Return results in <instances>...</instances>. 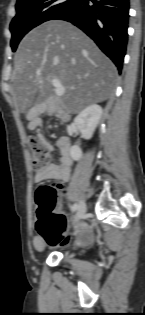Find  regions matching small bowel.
<instances>
[{"label":"small bowel","instance_id":"obj_1","mask_svg":"<svg viewBox=\"0 0 145 315\" xmlns=\"http://www.w3.org/2000/svg\"><path fill=\"white\" fill-rule=\"evenodd\" d=\"M39 124L40 121L36 118L32 120L30 127L36 128L39 126ZM45 143L49 150H54V147L50 142L45 141ZM56 145L60 151L59 161L57 163H49L42 170H35L33 175L34 183L38 184L48 180L65 182L69 179L72 164L70 142L67 138H60ZM58 210H60L59 207ZM32 243L36 250H43L45 247V240L39 234L33 238Z\"/></svg>","mask_w":145,"mask_h":315}]
</instances>
